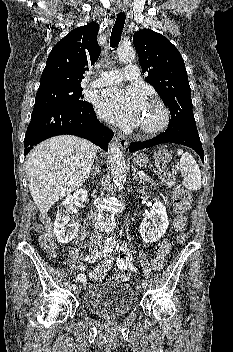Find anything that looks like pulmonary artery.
<instances>
[{
    "instance_id": "e3ab8cb5",
    "label": "pulmonary artery",
    "mask_w": 233,
    "mask_h": 352,
    "mask_svg": "<svg viewBox=\"0 0 233 352\" xmlns=\"http://www.w3.org/2000/svg\"><path fill=\"white\" fill-rule=\"evenodd\" d=\"M139 70L135 65H128L123 70L102 72L100 78L91 83L92 87H99L117 83L122 80L133 81L138 79Z\"/></svg>"
}]
</instances>
